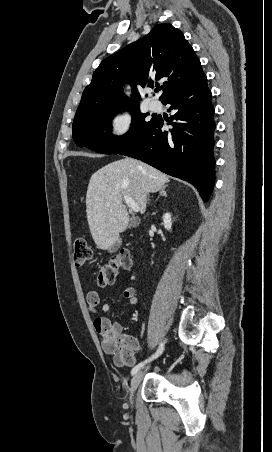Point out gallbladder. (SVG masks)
Listing matches in <instances>:
<instances>
[{"label": "gallbladder", "mask_w": 272, "mask_h": 452, "mask_svg": "<svg viewBox=\"0 0 272 452\" xmlns=\"http://www.w3.org/2000/svg\"><path fill=\"white\" fill-rule=\"evenodd\" d=\"M131 227H135L136 226V222L132 221L130 224ZM122 241L119 239L118 241H116L108 250L110 253L116 252L118 250V248L121 246Z\"/></svg>", "instance_id": "bac80fb5"}]
</instances>
